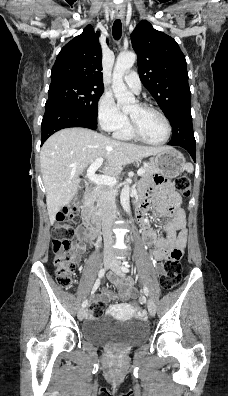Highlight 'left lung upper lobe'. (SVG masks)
Listing matches in <instances>:
<instances>
[{"label":"left lung upper lobe","instance_id":"left-lung-upper-lobe-1","mask_svg":"<svg viewBox=\"0 0 228 396\" xmlns=\"http://www.w3.org/2000/svg\"><path fill=\"white\" fill-rule=\"evenodd\" d=\"M131 41L143 85L169 120H179L180 108L191 102L186 60L179 45L145 20L136 26Z\"/></svg>","mask_w":228,"mask_h":396}]
</instances>
